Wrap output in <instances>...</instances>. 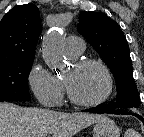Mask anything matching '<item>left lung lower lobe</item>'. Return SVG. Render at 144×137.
I'll return each instance as SVG.
<instances>
[{
    "label": "left lung lower lobe",
    "mask_w": 144,
    "mask_h": 137,
    "mask_svg": "<svg viewBox=\"0 0 144 137\" xmlns=\"http://www.w3.org/2000/svg\"><path fill=\"white\" fill-rule=\"evenodd\" d=\"M85 111L94 112V113H111V114H124V115L132 114V113H129L128 111H125V110L112 109V108H110L109 105H99L95 108H90V109H87ZM132 115L136 116L137 118H139L144 123V118L142 116H140L139 114H132Z\"/></svg>",
    "instance_id": "0a47b994"
}]
</instances>
